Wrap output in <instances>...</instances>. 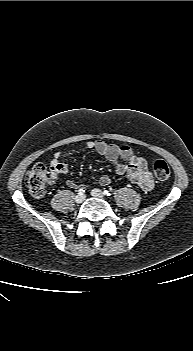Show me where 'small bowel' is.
Wrapping results in <instances>:
<instances>
[{"instance_id":"c3829d8e","label":"small bowel","mask_w":193,"mask_h":351,"mask_svg":"<svg viewBox=\"0 0 193 351\" xmlns=\"http://www.w3.org/2000/svg\"><path fill=\"white\" fill-rule=\"evenodd\" d=\"M84 146L105 157L113 164L118 174L125 176L140 190L149 191L153 188L154 181L146 160L135 155L129 146H119L102 140H88ZM119 160H123L125 163H119ZM50 170L51 181L54 183L59 175L69 171L68 154L60 151L54 153L50 162ZM110 182L111 178L108 175H102L99 178V184L102 186H107ZM67 185L70 188L78 187V183L74 180H68Z\"/></svg>"}]
</instances>
